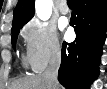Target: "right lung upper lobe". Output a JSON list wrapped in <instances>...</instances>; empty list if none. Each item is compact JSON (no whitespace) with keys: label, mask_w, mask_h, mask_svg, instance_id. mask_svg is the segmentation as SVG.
<instances>
[{"label":"right lung upper lobe","mask_w":107,"mask_h":89,"mask_svg":"<svg viewBox=\"0 0 107 89\" xmlns=\"http://www.w3.org/2000/svg\"><path fill=\"white\" fill-rule=\"evenodd\" d=\"M34 15V0H18L14 9L12 28L23 26Z\"/></svg>","instance_id":"cb5924a9"}]
</instances>
